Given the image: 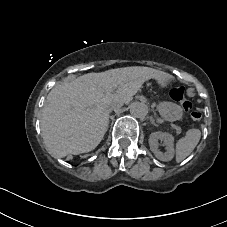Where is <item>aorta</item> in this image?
Instances as JSON below:
<instances>
[{
  "mask_svg": "<svg viewBox=\"0 0 227 227\" xmlns=\"http://www.w3.org/2000/svg\"><path fill=\"white\" fill-rule=\"evenodd\" d=\"M130 114L135 118H144L148 114V106L142 102H134L130 105Z\"/></svg>",
  "mask_w": 227,
  "mask_h": 227,
  "instance_id": "aorta-1",
  "label": "aorta"
}]
</instances>
